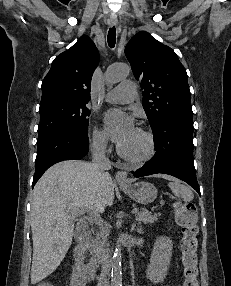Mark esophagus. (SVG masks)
<instances>
[{"mask_svg":"<svg viewBox=\"0 0 231 286\" xmlns=\"http://www.w3.org/2000/svg\"><path fill=\"white\" fill-rule=\"evenodd\" d=\"M117 21L118 20H117L116 15H111L108 23L110 26H115L117 24ZM115 178H116L117 183L121 186H125L130 183L128 179V174L126 171H117Z\"/></svg>","mask_w":231,"mask_h":286,"instance_id":"esophagus-1","label":"esophagus"}]
</instances>
